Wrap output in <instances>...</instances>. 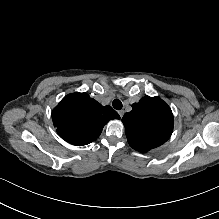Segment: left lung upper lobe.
I'll use <instances>...</instances> for the list:
<instances>
[{"label":"left lung upper lobe","instance_id":"1","mask_svg":"<svg viewBox=\"0 0 219 219\" xmlns=\"http://www.w3.org/2000/svg\"><path fill=\"white\" fill-rule=\"evenodd\" d=\"M122 122L129 145L146 153L164 144L173 131V114L159 97L145 96L132 105Z\"/></svg>","mask_w":219,"mask_h":219}]
</instances>
